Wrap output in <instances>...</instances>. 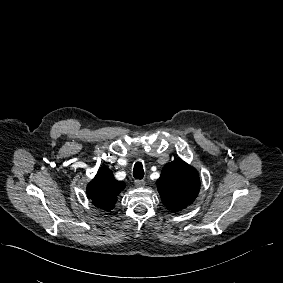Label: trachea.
Listing matches in <instances>:
<instances>
[{
    "instance_id": "trachea-1",
    "label": "trachea",
    "mask_w": 283,
    "mask_h": 283,
    "mask_svg": "<svg viewBox=\"0 0 283 283\" xmlns=\"http://www.w3.org/2000/svg\"><path fill=\"white\" fill-rule=\"evenodd\" d=\"M133 176L136 179H142L144 177L143 165L140 162L135 163L133 169Z\"/></svg>"
}]
</instances>
